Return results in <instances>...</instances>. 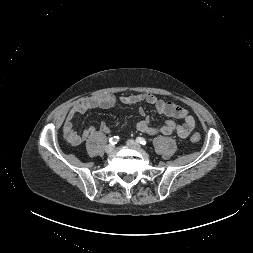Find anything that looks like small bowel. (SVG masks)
<instances>
[{
  "label": "small bowel",
  "mask_w": 253,
  "mask_h": 253,
  "mask_svg": "<svg viewBox=\"0 0 253 253\" xmlns=\"http://www.w3.org/2000/svg\"><path fill=\"white\" fill-rule=\"evenodd\" d=\"M117 99L111 94L97 95L91 97H85L73 104L68 112L64 125L63 135L65 140L73 145L78 146L85 142L96 129L94 126L85 128L82 132H77L74 128V119L78 114H83L89 109L103 108L108 109L115 105ZM119 101L126 105H135L142 102H146L153 105L156 110L168 117V119L161 126H152L149 118L146 116V111L143 107H139V114L143 119L137 124V129L141 133L154 136L158 134L172 135L176 134L181 138L188 137L195 128V119L192 114L169 101L162 100L153 94H129L119 97ZM173 119H182V124H177ZM100 130L104 133H109L110 128L106 123H101Z\"/></svg>",
  "instance_id": "small-bowel-1"
}]
</instances>
